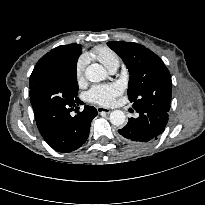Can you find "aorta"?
Segmentation results:
<instances>
[{
    "instance_id": "obj_1",
    "label": "aorta",
    "mask_w": 205,
    "mask_h": 205,
    "mask_svg": "<svg viewBox=\"0 0 205 205\" xmlns=\"http://www.w3.org/2000/svg\"><path fill=\"white\" fill-rule=\"evenodd\" d=\"M85 77L90 82L97 83L105 80L108 77V74L102 65L94 63L85 69ZM109 120L111 124L121 126L126 121V115L121 110H114L110 113Z\"/></svg>"
}]
</instances>
